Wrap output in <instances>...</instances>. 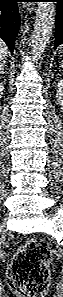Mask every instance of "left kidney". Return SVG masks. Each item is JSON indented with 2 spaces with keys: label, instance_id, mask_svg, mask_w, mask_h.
<instances>
[{
  "label": "left kidney",
  "instance_id": "obj_1",
  "mask_svg": "<svg viewBox=\"0 0 63 297\" xmlns=\"http://www.w3.org/2000/svg\"><path fill=\"white\" fill-rule=\"evenodd\" d=\"M56 97L59 104L63 105V80L57 83Z\"/></svg>",
  "mask_w": 63,
  "mask_h": 297
}]
</instances>
